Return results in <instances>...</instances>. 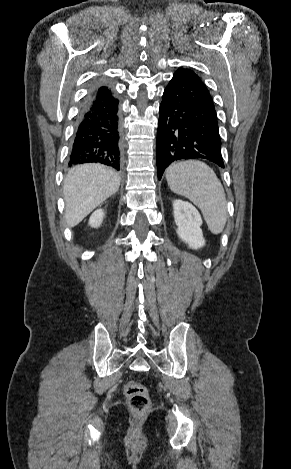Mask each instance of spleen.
Listing matches in <instances>:
<instances>
[{"label":"spleen","mask_w":291,"mask_h":469,"mask_svg":"<svg viewBox=\"0 0 291 469\" xmlns=\"http://www.w3.org/2000/svg\"><path fill=\"white\" fill-rule=\"evenodd\" d=\"M166 180L172 192L185 196L201 210L211 233L224 230L228 216L226 195L207 164L198 160L172 164L166 170Z\"/></svg>","instance_id":"obj_1"}]
</instances>
